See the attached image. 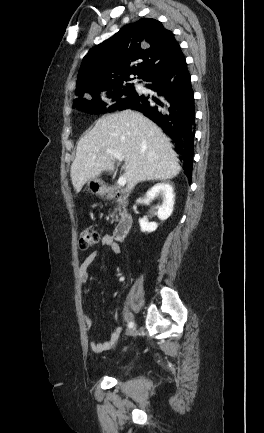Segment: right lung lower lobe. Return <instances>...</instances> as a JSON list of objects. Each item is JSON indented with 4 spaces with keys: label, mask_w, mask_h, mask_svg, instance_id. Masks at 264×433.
Masks as SVG:
<instances>
[{
    "label": "right lung lower lobe",
    "mask_w": 264,
    "mask_h": 433,
    "mask_svg": "<svg viewBox=\"0 0 264 433\" xmlns=\"http://www.w3.org/2000/svg\"><path fill=\"white\" fill-rule=\"evenodd\" d=\"M157 93L137 95L122 109L142 112L172 138L191 181L195 135V105L190 74L182 51L154 67L144 78Z\"/></svg>",
    "instance_id": "right-lung-lower-lobe-1"
}]
</instances>
